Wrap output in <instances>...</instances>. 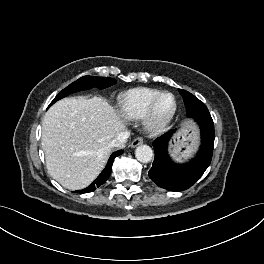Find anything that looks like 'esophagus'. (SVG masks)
<instances>
[{
  "label": "esophagus",
  "mask_w": 264,
  "mask_h": 264,
  "mask_svg": "<svg viewBox=\"0 0 264 264\" xmlns=\"http://www.w3.org/2000/svg\"><path fill=\"white\" fill-rule=\"evenodd\" d=\"M142 143H143V139L141 137H136L133 139L130 146L134 148L138 145H141Z\"/></svg>",
  "instance_id": "34e87169"
}]
</instances>
